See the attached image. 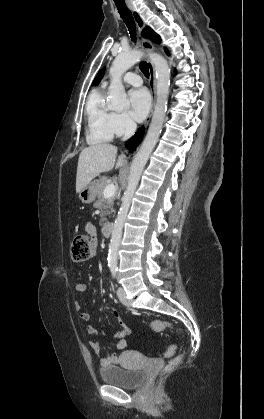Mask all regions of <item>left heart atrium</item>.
<instances>
[{
  "label": "left heart atrium",
  "mask_w": 264,
  "mask_h": 419,
  "mask_svg": "<svg viewBox=\"0 0 264 419\" xmlns=\"http://www.w3.org/2000/svg\"><path fill=\"white\" fill-rule=\"evenodd\" d=\"M131 113L135 120L143 121L150 110L151 100L145 89H135L129 93Z\"/></svg>",
  "instance_id": "left-heart-atrium-1"
}]
</instances>
